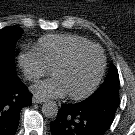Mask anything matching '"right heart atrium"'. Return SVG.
<instances>
[{"label":"right heart atrium","mask_w":135,"mask_h":135,"mask_svg":"<svg viewBox=\"0 0 135 135\" xmlns=\"http://www.w3.org/2000/svg\"><path fill=\"white\" fill-rule=\"evenodd\" d=\"M18 61L26 78L30 81H36L50 71V68L35 49L22 52L18 57Z\"/></svg>","instance_id":"d8ad5b80"}]
</instances>
